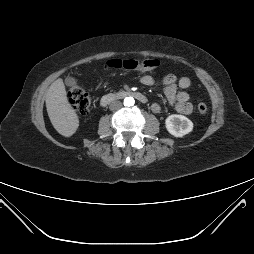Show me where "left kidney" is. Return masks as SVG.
<instances>
[{"mask_svg": "<svg viewBox=\"0 0 254 254\" xmlns=\"http://www.w3.org/2000/svg\"><path fill=\"white\" fill-rule=\"evenodd\" d=\"M167 131L175 137H183L193 130V123L186 116L172 114L165 120Z\"/></svg>", "mask_w": 254, "mask_h": 254, "instance_id": "5707ae66", "label": "left kidney"}]
</instances>
